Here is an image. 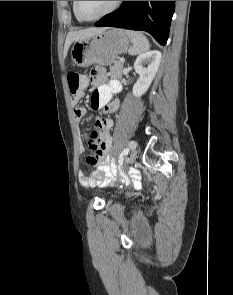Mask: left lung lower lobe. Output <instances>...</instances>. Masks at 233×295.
I'll list each match as a JSON object with an SVG mask.
<instances>
[{
    "label": "left lung lower lobe",
    "instance_id": "left-lung-lower-lobe-1",
    "mask_svg": "<svg viewBox=\"0 0 233 295\" xmlns=\"http://www.w3.org/2000/svg\"><path fill=\"white\" fill-rule=\"evenodd\" d=\"M174 9L175 1H123L118 10L94 25L146 31L158 43L165 45Z\"/></svg>",
    "mask_w": 233,
    "mask_h": 295
}]
</instances>
